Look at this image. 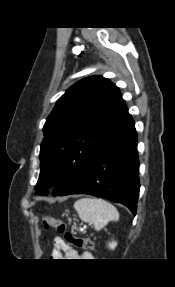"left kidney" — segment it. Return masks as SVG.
<instances>
[{
	"label": "left kidney",
	"instance_id": "5707ae66",
	"mask_svg": "<svg viewBox=\"0 0 175 287\" xmlns=\"http://www.w3.org/2000/svg\"><path fill=\"white\" fill-rule=\"evenodd\" d=\"M116 245H117V243L116 242H111V243H109V247L111 248V249H114L115 247H116Z\"/></svg>",
	"mask_w": 175,
	"mask_h": 287
}]
</instances>
